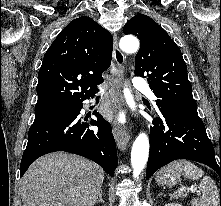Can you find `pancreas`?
Instances as JSON below:
<instances>
[{"label": "pancreas", "instance_id": "1", "mask_svg": "<svg viewBox=\"0 0 221 206\" xmlns=\"http://www.w3.org/2000/svg\"><path fill=\"white\" fill-rule=\"evenodd\" d=\"M185 195L184 194H180V197H184Z\"/></svg>", "mask_w": 221, "mask_h": 206}]
</instances>
